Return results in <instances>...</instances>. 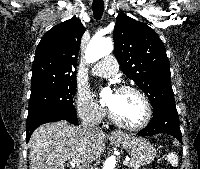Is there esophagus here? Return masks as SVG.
Listing matches in <instances>:
<instances>
[{
    "mask_svg": "<svg viewBox=\"0 0 200 169\" xmlns=\"http://www.w3.org/2000/svg\"><path fill=\"white\" fill-rule=\"evenodd\" d=\"M111 135L113 137H123L124 136V134L121 131H119V130L112 131Z\"/></svg>",
    "mask_w": 200,
    "mask_h": 169,
    "instance_id": "1",
    "label": "esophagus"
}]
</instances>
